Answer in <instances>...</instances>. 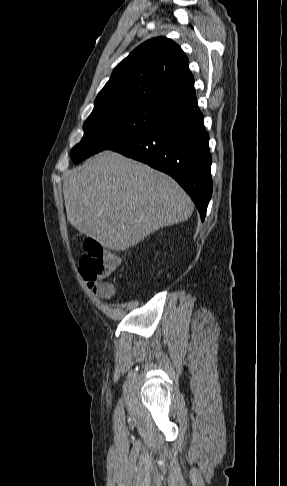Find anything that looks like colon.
Listing matches in <instances>:
<instances>
[{
	"instance_id": "5ec220e1",
	"label": "colon",
	"mask_w": 287,
	"mask_h": 486,
	"mask_svg": "<svg viewBox=\"0 0 287 486\" xmlns=\"http://www.w3.org/2000/svg\"><path fill=\"white\" fill-rule=\"evenodd\" d=\"M85 253L79 260V271L89 288L101 298H111L115 287L109 281L111 274L118 268V257L105 251L101 244L93 239L85 242Z\"/></svg>"
}]
</instances>
